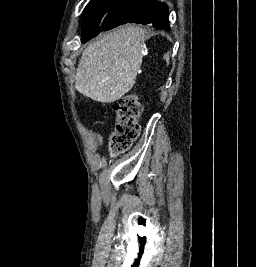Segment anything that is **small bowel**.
<instances>
[{
  "label": "small bowel",
  "mask_w": 256,
  "mask_h": 267,
  "mask_svg": "<svg viewBox=\"0 0 256 267\" xmlns=\"http://www.w3.org/2000/svg\"><path fill=\"white\" fill-rule=\"evenodd\" d=\"M96 140H97L98 142H100V141H101L100 137H96Z\"/></svg>",
  "instance_id": "obj_1"
}]
</instances>
